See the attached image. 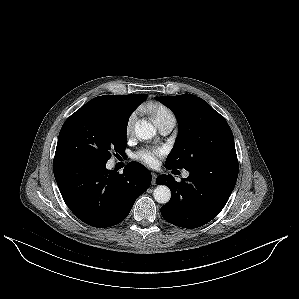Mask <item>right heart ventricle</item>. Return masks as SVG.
Returning <instances> with one entry per match:
<instances>
[{"mask_svg": "<svg viewBox=\"0 0 299 299\" xmlns=\"http://www.w3.org/2000/svg\"><path fill=\"white\" fill-rule=\"evenodd\" d=\"M150 112L154 117L157 125L164 120L174 118L173 113L167 107L161 104H154L150 108Z\"/></svg>", "mask_w": 299, "mask_h": 299, "instance_id": "1", "label": "right heart ventricle"}]
</instances>
